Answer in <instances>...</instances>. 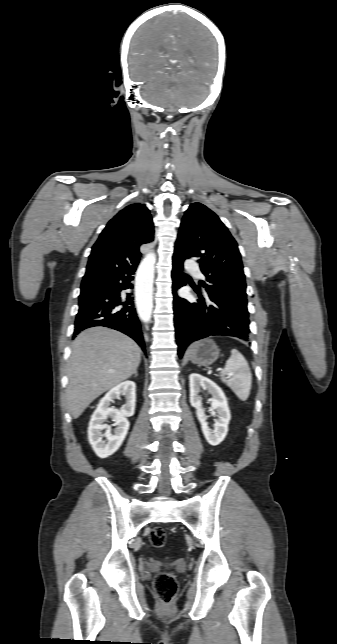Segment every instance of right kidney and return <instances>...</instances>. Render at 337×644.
Returning <instances> with one entry per match:
<instances>
[{
  "instance_id": "ca27d5eb",
  "label": "right kidney",
  "mask_w": 337,
  "mask_h": 644,
  "mask_svg": "<svg viewBox=\"0 0 337 644\" xmlns=\"http://www.w3.org/2000/svg\"><path fill=\"white\" fill-rule=\"evenodd\" d=\"M124 395L126 403L120 410L110 407L114 399ZM136 402V385L133 381H125L113 387L100 400L96 410L91 416L88 427V440L94 452L100 458H106L114 454L123 443L129 430L127 417L133 416ZM107 418H112L116 428L112 432L111 427L104 424ZM106 430L102 434V430ZM103 437L106 440H103Z\"/></svg>"
}]
</instances>
